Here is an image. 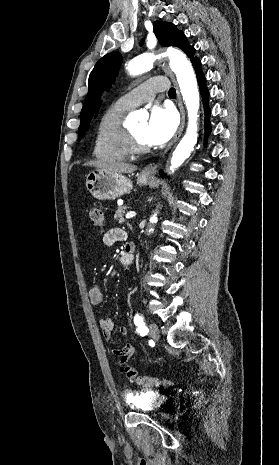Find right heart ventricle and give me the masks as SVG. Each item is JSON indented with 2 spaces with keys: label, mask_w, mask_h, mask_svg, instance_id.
I'll return each instance as SVG.
<instances>
[{
  "label": "right heart ventricle",
  "mask_w": 279,
  "mask_h": 465,
  "mask_svg": "<svg viewBox=\"0 0 279 465\" xmlns=\"http://www.w3.org/2000/svg\"><path fill=\"white\" fill-rule=\"evenodd\" d=\"M129 108L117 102L102 115L95 138L93 154L97 159L120 161L129 156L126 147L124 119Z\"/></svg>",
  "instance_id": "right-heart-ventricle-1"
}]
</instances>
